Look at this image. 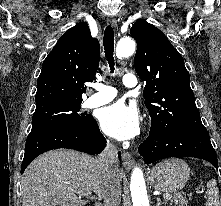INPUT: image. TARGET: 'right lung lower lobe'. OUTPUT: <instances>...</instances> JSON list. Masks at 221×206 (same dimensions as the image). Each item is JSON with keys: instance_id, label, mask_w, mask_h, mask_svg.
I'll return each instance as SVG.
<instances>
[{"instance_id": "right-lung-lower-lobe-1", "label": "right lung lower lobe", "mask_w": 221, "mask_h": 206, "mask_svg": "<svg viewBox=\"0 0 221 206\" xmlns=\"http://www.w3.org/2000/svg\"><path fill=\"white\" fill-rule=\"evenodd\" d=\"M105 146L106 139L95 119L85 126L51 127L31 131L26 140L21 174L34 158L46 151L68 148L89 154H99ZM118 156L121 158L120 152Z\"/></svg>"}]
</instances>
